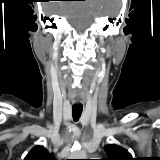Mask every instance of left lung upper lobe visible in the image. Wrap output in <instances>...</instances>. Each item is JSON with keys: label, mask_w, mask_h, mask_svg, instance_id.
Masks as SVG:
<instances>
[{"label": "left lung upper lobe", "mask_w": 160, "mask_h": 160, "mask_svg": "<svg viewBox=\"0 0 160 160\" xmlns=\"http://www.w3.org/2000/svg\"><path fill=\"white\" fill-rule=\"evenodd\" d=\"M108 158H103L102 160H133L131 154L124 148L110 144L104 147Z\"/></svg>", "instance_id": "left-lung-upper-lobe-1"}]
</instances>
